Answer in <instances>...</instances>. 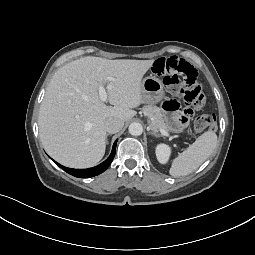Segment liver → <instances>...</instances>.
Instances as JSON below:
<instances>
[{
	"label": "liver",
	"instance_id": "obj_1",
	"mask_svg": "<svg viewBox=\"0 0 255 255\" xmlns=\"http://www.w3.org/2000/svg\"><path fill=\"white\" fill-rule=\"evenodd\" d=\"M154 60L84 57L52 77L39 111V135L46 152L71 168H89L103 158L108 118L126 122L144 103L142 78ZM109 78H112L109 80ZM105 85L107 106L98 86Z\"/></svg>",
	"mask_w": 255,
	"mask_h": 255
}]
</instances>
